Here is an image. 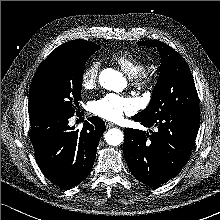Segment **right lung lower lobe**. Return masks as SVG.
Instances as JSON below:
<instances>
[{"mask_svg": "<svg viewBox=\"0 0 220 220\" xmlns=\"http://www.w3.org/2000/svg\"><path fill=\"white\" fill-rule=\"evenodd\" d=\"M73 115L39 113L30 116V140L38 166L50 181L62 188L73 187L88 176L98 142L106 130L98 117L85 121L81 131L74 130L68 125Z\"/></svg>", "mask_w": 220, "mask_h": 220, "instance_id": "obj_1", "label": "right lung lower lobe"}]
</instances>
